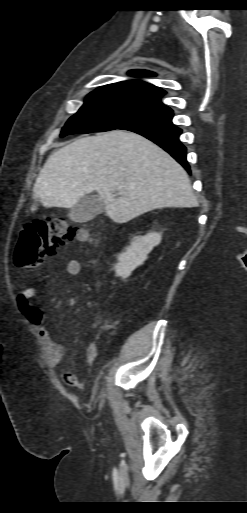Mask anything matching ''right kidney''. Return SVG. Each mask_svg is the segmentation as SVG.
Instances as JSON below:
<instances>
[{"label":"right kidney","mask_w":247,"mask_h":513,"mask_svg":"<svg viewBox=\"0 0 247 513\" xmlns=\"http://www.w3.org/2000/svg\"><path fill=\"white\" fill-rule=\"evenodd\" d=\"M161 238V234L156 232L134 237L130 246L118 256V263L114 267L116 275L129 277L135 268L144 263L152 249L161 242Z\"/></svg>","instance_id":"ca27d5eb"}]
</instances>
